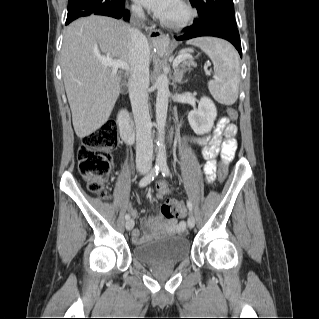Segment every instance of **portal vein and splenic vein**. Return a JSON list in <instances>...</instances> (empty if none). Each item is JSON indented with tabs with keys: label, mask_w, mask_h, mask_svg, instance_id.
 I'll list each match as a JSON object with an SVG mask.
<instances>
[{
	"label": "portal vein and splenic vein",
	"mask_w": 319,
	"mask_h": 319,
	"mask_svg": "<svg viewBox=\"0 0 319 319\" xmlns=\"http://www.w3.org/2000/svg\"><path fill=\"white\" fill-rule=\"evenodd\" d=\"M192 56L190 54H181L179 55L173 62V67H176L178 66V64L185 60V59H191ZM98 61L104 65V66H108V67H111L113 69H118V68H122V69H125V70H128L129 69V66L121 61V60H117V59H111V58H108V57H99L98 58ZM207 74L210 75V72L207 71Z\"/></svg>",
	"instance_id": "18ae733b"
}]
</instances>
